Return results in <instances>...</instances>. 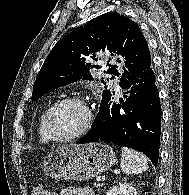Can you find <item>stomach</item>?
<instances>
[{
    "label": "stomach",
    "mask_w": 189,
    "mask_h": 195,
    "mask_svg": "<svg viewBox=\"0 0 189 195\" xmlns=\"http://www.w3.org/2000/svg\"><path fill=\"white\" fill-rule=\"evenodd\" d=\"M115 160L113 149L106 144L72 145L47 154L42 169L55 179L84 181L109 169Z\"/></svg>",
    "instance_id": "0dacf381"
}]
</instances>
